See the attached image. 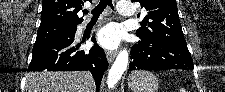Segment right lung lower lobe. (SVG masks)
I'll return each mask as SVG.
<instances>
[{
    "label": "right lung lower lobe",
    "mask_w": 225,
    "mask_h": 92,
    "mask_svg": "<svg viewBox=\"0 0 225 92\" xmlns=\"http://www.w3.org/2000/svg\"><path fill=\"white\" fill-rule=\"evenodd\" d=\"M92 40L95 45L89 51L79 50L80 44L74 42V37L34 46L28 71L88 70L98 90L108 62L104 50L97 45L94 37Z\"/></svg>",
    "instance_id": "98d812e1"
}]
</instances>
